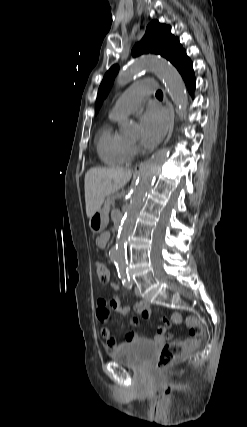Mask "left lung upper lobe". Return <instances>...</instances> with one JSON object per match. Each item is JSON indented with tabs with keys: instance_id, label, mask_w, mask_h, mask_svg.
<instances>
[{
	"instance_id": "1",
	"label": "left lung upper lobe",
	"mask_w": 247,
	"mask_h": 427,
	"mask_svg": "<svg viewBox=\"0 0 247 427\" xmlns=\"http://www.w3.org/2000/svg\"><path fill=\"white\" fill-rule=\"evenodd\" d=\"M170 27L160 24L157 20L152 21L146 28L141 41L132 50V56L142 54H158L169 60L175 67L188 59L185 50L182 49L179 39L170 33ZM118 65H113L105 74L98 90L95 104V113L98 112L104 98L118 73Z\"/></svg>"
}]
</instances>
